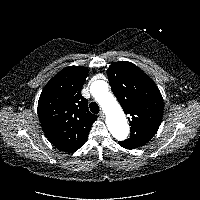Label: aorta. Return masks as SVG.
Listing matches in <instances>:
<instances>
[{"mask_svg": "<svg viewBox=\"0 0 200 200\" xmlns=\"http://www.w3.org/2000/svg\"><path fill=\"white\" fill-rule=\"evenodd\" d=\"M90 91L106 114V124L112 136L119 141L125 140L129 134V126L121 106L108 91V84L103 80H96L91 84Z\"/></svg>", "mask_w": 200, "mask_h": 200, "instance_id": "1", "label": "aorta"}]
</instances>
